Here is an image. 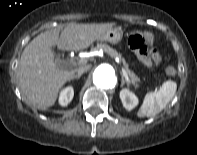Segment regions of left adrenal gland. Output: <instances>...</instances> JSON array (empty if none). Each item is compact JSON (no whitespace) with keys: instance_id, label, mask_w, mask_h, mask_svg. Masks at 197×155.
Listing matches in <instances>:
<instances>
[{"instance_id":"obj_1","label":"left adrenal gland","mask_w":197,"mask_h":155,"mask_svg":"<svg viewBox=\"0 0 197 155\" xmlns=\"http://www.w3.org/2000/svg\"><path fill=\"white\" fill-rule=\"evenodd\" d=\"M124 84L128 85V83L124 79V76L121 74V86H123Z\"/></svg>"}]
</instances>
